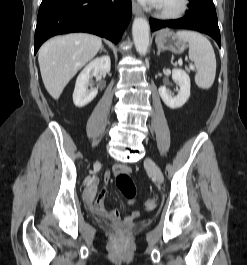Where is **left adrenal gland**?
I'll return each mask as SVG.
<instances>
[{
  "instance_id": "a2214340",
  "label": "left adrenal gland",
  "mask_w": 247,
  "mask_h": 265,
  "mask_svg": "<svg viewBox=\"0 0 247 265\" xmlns=\"http://www.w3.org/2000/svg\"><path fill=\"white\" fill-rule=\"evenodd\" d=\"M160 53H161V49H160V48H158L157 55L159 56V55H160Z\"/></svg>"
}]
</instances>
